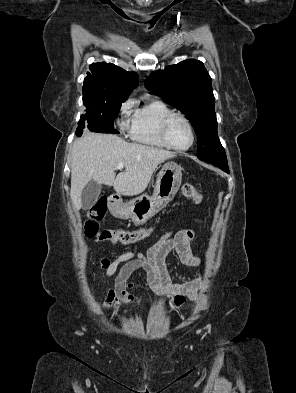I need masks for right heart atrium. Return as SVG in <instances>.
<instances>
[{
	"mask_svg": "<svg viewBox=\"0 0 296 393\" xmlns=\"http://www.w3.org/2000/svg\"><path fill=\"white\" fill-rule=\"evenodd\" d=\"M132 103L131 101L127 100L120 106L119 112L121 117V124L125 126L126 117L131 109Z\"/></svg>",
	"mask_w": 296,
	"mask_h": 393,
	"instance_id": "1",
	"label": "right heart atrium"
}]
</instances>
